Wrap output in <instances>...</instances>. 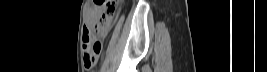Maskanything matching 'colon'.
Wrapping results in <instances>:
<instances>
[{"label": "colon", "instance_id": "obj_1", "mask_svg": "<svg viewBox=\"0 0 267 72\" xmlns=\"http://www.w3.org/2000/svg\"><path fill=\"white\" fill-rule=\"evenodd\" d=\"M120 4L119 0H96V12L98 13L97 22L95 26L96 32L106 31L113 18L115 17L118 6ZM83 51L85 54L84 65L85 63L95 66L97 62V56L101 50V42L97 39L90 31H88L83 38Z\"/></svg>", "mask_w": 267, "mask_h": 72}]
</instances>
